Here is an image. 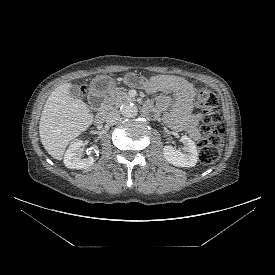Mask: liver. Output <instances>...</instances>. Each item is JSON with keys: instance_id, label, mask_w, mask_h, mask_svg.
Returning <instances> with one entry per match:
<instances>
[{"instance_id": "6515ba94", "label": "liver", "mask_w": 275, "mask_h": 275, "mask_svg": "<svg viewBox=\"0 0 275 275\" xmlns=\"http://www.w3.org/2000/svg\"><path fill=\"white\" fill-rule=\"evenodd\" d=\"M71 86L65 83L51 92L39 123L41 142L48 154L57 160H62L70 141L86 131L94 120L87 104L69 95Z\"/></svg>"}]
</instances>
